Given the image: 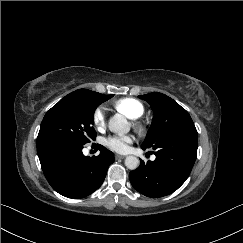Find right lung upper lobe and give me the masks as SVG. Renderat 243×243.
I'll list each match as a JSON object with an SVG mask.
<instances>
[{
  "label": "right lung upper lobe",
  "mask_w": 243,
  "mask_h": 243,
  "mask_svg": "<svg viewBox=\"0 0 243 243\" xmlns=\"http://www.w3.org/2000/svg\"><path fill=\"white\" fill-rule=\"evenodd\" d=\"M68 97H79V98H101L102 96H104L103 94L94 92V91H90L87 89H78L70 94L67 95Z\"/></svg>",
  "instance_id": "cb5924a9"
}]
</instances>
